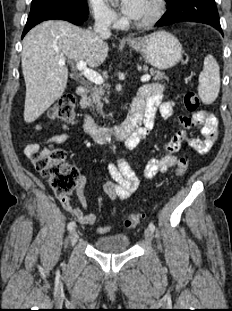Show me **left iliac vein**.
<instances>
[{
	"label": "left iliac vein",
	"instance_id": "obj_1",
	"mask_svg": "<svg viewBox=\"0 0 232 311\" xmlns=\"http://www.w3.org/2000/svg\"><path fill=\"white\" fill-rule=\"evenodd\" d=\"M145 239L149 242L153 240V231L150 228H147L144 232Z\"/></svg>",
	"mask_w": 232,
	"mask_h": 311
}]
</instances>
